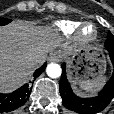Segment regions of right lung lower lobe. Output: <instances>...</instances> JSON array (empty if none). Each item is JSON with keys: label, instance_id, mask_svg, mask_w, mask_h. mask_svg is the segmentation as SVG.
<instances>
[{"label": "right lung lower lobe", "instance_id": "right-lung-lower-lobe-1", "mask_svg": "<svg viewBox=\"0 0 114 114\" xmlns=\"http://www.w3.org/2000/svg\"><path fill=\"white\" fill-rule=\"evenodd\" d=\"M47 63H44L39 69H37L33 76L37 78L46 68ZM31 88L28 84L23 85L16 91L10 94L0 93V113L13 111L22 105L29 99Z\"/></svg>", "mask_w": 114, "mask_h": 114}]
</instances>
